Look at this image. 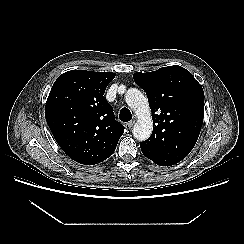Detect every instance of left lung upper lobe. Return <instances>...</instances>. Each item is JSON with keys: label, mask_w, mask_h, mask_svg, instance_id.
<instances>
[{"label": "left lung upper lobe", "mask_w": 244, "mask_h": 244, "mask_svg": "<svg viewBox=\"0 0 244 244\" xmlns=\"http://www.w3.org/2000/svg\"><path fill=\"white\" fill-rule=\"evenodd\" d=\"M146 92L152 111L153 132L140 142L142 153L160 166H171L193 149L204 117V92L181 66L133 75Z\"/></svg>", "instance_id": "1"}]
</instances>
